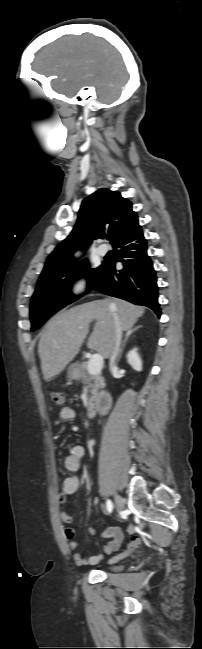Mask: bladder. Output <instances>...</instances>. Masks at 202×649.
<instances>
[{
    "label": "bladder",
    "mask_w": 202,
    "mask_h": 649,
    "mask_svg": "<svg viewBox=\"0 0 202 649\" xmlns=\"http://www.w3.org/2000/svg\"><path fill=\"white\" fill-rule=\"evenodd\" d=\"M121 568H122L121 565H114V566L110 567V570L111 571H119V570H121Z\"/></svg>",
    "instance_id": "obj_1"
}]
</instances>
